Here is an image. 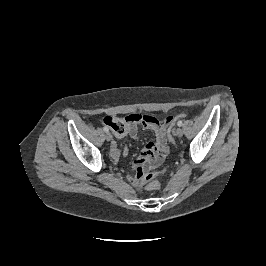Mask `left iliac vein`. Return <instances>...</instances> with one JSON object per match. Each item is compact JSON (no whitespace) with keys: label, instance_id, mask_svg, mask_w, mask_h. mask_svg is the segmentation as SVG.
I'll return each mask as SVG.
<instances>
[{"label":"left iliac vein","instance_id":"1","mask_svg":"<svg viewBox=\"0 0 266 266\" xmlns=\"http://www.w3.org/2000/svg\"><path fill=\"white\" fill-rule=\"evenodd\" d=\"M176 136L182 137L183 135V130L181 128H177L175 131Z\"/></svg>","mask_w":266,"mask_h":266}]
</instances>
